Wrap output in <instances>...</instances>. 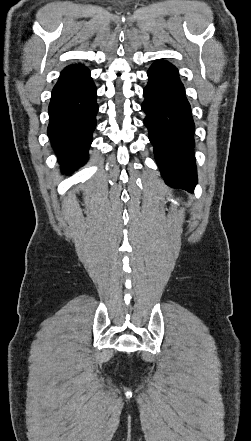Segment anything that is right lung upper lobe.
I'll list each match as a JSON object with an SVG mask.
<instances>
[{"mask_svg":"<svg viewBox=\"0 0 251 441\" xmlns=\"http://www.w3.org/2000/svg\"><path fill=\"white\" fill-rule=\"evenodd\" d=\"M71 66H77V65H71ZM71 66H68V67H71Z\"/></svg>","mask_w":251,"mask_h":441,"instance_id":"obj_1","label":"right lung upper lobe"}]
</instances>
